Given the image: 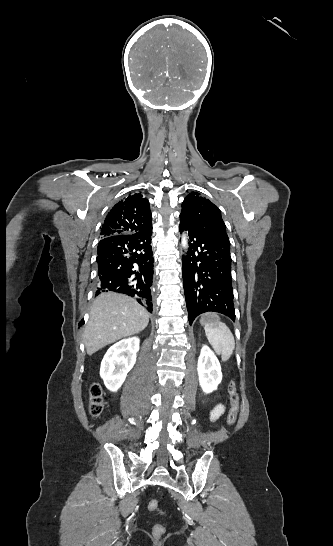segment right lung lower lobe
Listing matches in <instances>:
<instances>
[{"label": "right lung lower lobe", "mask_w": 333, "mask_h": 546, "mask_svg": "<svg viewBox=\"0 0 333 546\" xmlns=\"http://www.w3.org/2000/svg\"><path fill=\"white\" fill-rule=\"evenodd\" d=\"M151 234L152 226L130 235L101 238L96 258L99 279L96 295L109 291L127 294L152 311Z\"/></svg>", "instance_id": "98d812e1"}]
</instances>
